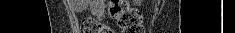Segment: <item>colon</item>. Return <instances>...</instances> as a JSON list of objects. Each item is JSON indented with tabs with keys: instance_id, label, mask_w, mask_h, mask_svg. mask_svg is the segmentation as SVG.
<instances>
[{
	"instance_id": "5ec220e1",
	"label": "colon",
	"mask_w": 235,
	"mask_h": 33,
	"mask_svg": "<svg viewBox=\"0 0 235 33\" xmlns=\"http://www.w3.org/2000/svg\"><path fill=\"white\" fill-rule=\"evenodd\" d=\"M109 14L117 21L122 33H143L140 13L130 8L123 0H111L108 8ZM82 33H114L113 29L103 22L91 17L81 22Z\"/></svg>"
}]
</instances>
